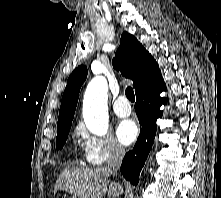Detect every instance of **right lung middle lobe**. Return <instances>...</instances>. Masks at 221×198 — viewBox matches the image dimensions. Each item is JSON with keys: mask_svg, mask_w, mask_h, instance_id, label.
<instances>
[{"mask_svg": "<svg viewBox=\"0 0 221 198\" xmlns=\"http://www.w3.org/2000/svg\"><path fill=\"white\" fill-rule=\"evenodd\" d=\"M70 127H66L64 129L57 131L56 149H62L63 145L65 144L67 140Z\"/></svg>", "mask_w": 221, "mask_h": 198, "instance_id": "obj_1", "label": "right lung middle lobe"}]
</instances>
